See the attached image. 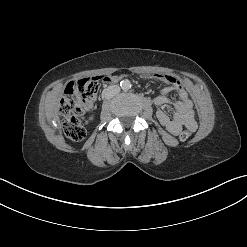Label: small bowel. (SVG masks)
Masks as SVG:
<instances>
[{"mask_svg": "<svg viewBox=\"0 0 247 247\" xmlns=\"http://www.w3.org/2000/svg\"><path fill=\"white\" fill-rule=\"evenodd\" d=\"M158 80L162 81L167 87L162 93L154 98L156 106L162 107L165 105H172L174 108L173 117H169L163 110L159 109L156 112L157 119L159 122L167 128V130L178 135L183 127H186L191 132L195 131L197 124L194 119L193 103L189 98V94L183 87L182 83L171 75H151ZM121 75L108 76L104 78L105 83H114L121 79ZM175 91L179 97L178 101H171L168 98V94ZM87 108L91 107V103L86 105Z\"/></svg>", "mask_w": 247, "mask_h": 247, "instance_id": "small-bowel-1", "label": "small bowel"}]
</instances>
